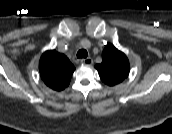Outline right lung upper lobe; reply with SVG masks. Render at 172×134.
<instances>
[{
	"instance_id": "1",
	"label": "right lung upper lobe",
	"mask_w": 172,
	"mask_h": 134,
	"mask_svg": "<svg viewBox=\"0 0 172 134\" xmlns=\"http://www.w3.org/2000/svg\"><path fill=\"white\" fill-rule=\"evenodd\" d=\"M75 70L69 59L55 50L46 51L39 61V72L44 83L56 91L65 89Z\"/></svg>"
}]
</instances>
